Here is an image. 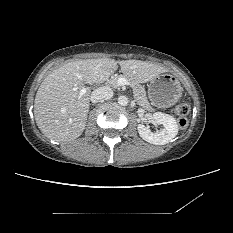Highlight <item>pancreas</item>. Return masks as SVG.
<instances>
[{"label": "pancreas", "mask_w": 233, "mask_h": 233, "mask_svg": "<svg viewBox=\"0 0 233 233\" xmlns=\"http://www.w3.org/2000/svg\"><path fill=\"white\" fill-rule=\"evenodd\" d=\"M120 77L126 78L125 76H122V75H115V76L111 77V79L108 81V83L113 88H118L119 85H118L117 81ZM127 81H129V83L133 89L134 98H135L137 104L142 106L143 108H145L147 110H151L152 108L147 100L145 89L137 82H134V81H131L128 79H127Z\"/></svg>", "instance_id": "pancreas-1"}]
</instances>
